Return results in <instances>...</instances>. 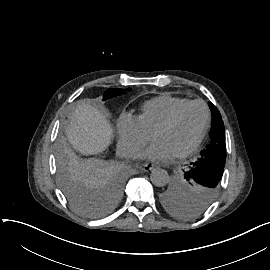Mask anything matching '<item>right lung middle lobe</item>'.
<instances>
[{"label":"right lung middle lobe","mask_w":270,"mask_h":270,"mask_svg":"<svg viewBox=\"0 0 270 270\" xmlns=\"http://www.w3.org/2000/svg\"><path fill=\"white\" fill-rule=\"evenodd\" d=\"M130 90L109 88L103 100ZM57 173L59 187L68 204L84 216L105 214L121 197L122 172L108 159L90 161L60 146L57 151Z\"/></svg>","instance_id":"right-lung-middle-lobe-1"}]
</instances>
